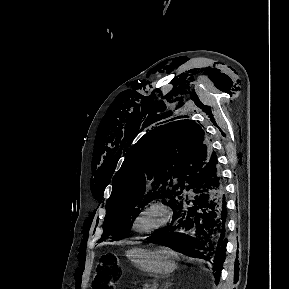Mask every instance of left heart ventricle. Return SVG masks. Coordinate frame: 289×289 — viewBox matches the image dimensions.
Wrapping results in <instances>:
<instances>
[{"label":"left heart ventricle","instance_id":"b2bd125f","mask_svg":"<svg viewBox=\"0 0 289 289\" xmlns=\"http://www.w3.org/2000/svg\"><path fill=\"white\" fill-rule=\"evenodd\" d=\"M161 221V213L158 210H151L143 215L138 221L139 229H149L156 226Z\"/></svg>","mask_w":289,"mask_h":289}]
</instances>
